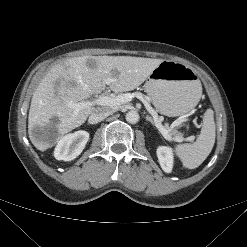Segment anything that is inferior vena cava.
<instances>
[{
  "mask_svg": "<svg viewBox=\"0 0 247 247\" xmlns=\"http://www.w3.org/2000/svg\"><path fill=\"white\" fill-rule=\"evenodd\" d=\"M115 112L114 109L108 107H98L90 116V120L93 123H98L104 120L109 115Z\"/></svg>",
  "mask_w": 247,
  "mask_h": 247,
  "instance_id": "obj_1",
  "label": "inferior vena cava"
}]
</instances>
